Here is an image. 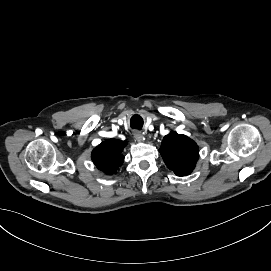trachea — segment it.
<instances>
[{"mask_svg":"<svg viewBox=\"0 0 271 271\" xmlns=\"http://www.w3.org/2000/svg\"><path fill=\"white\" fill-rule=\"evenodd\" d=\"M142 126H143V121L136 124H131L132 128L138 129V130H141Z\"/></svg>","mask_w":271,"mask_h":271,"instance_id":"1","label":"trachea"}]
</instances>
